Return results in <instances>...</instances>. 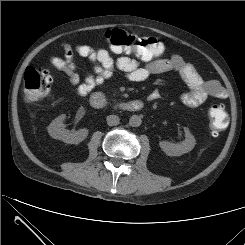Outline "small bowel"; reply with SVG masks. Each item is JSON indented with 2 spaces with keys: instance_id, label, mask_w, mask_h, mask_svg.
<instances>
[{
  "instance_id": "1",
  "label": "small bowel",
  "mask_w": 245,
  "mask_h": 245,
  "mask_svg": "<svg viewBox=\"0 0 245 245\" xmlns=\"http://www.w3.org/2000/svg\"><path fill=\"white\" fill-rule=\"evenodd\" d=\"M62 49L63 57L52 56L50 63L57 70L66 73L69 83L79 96L90 94L115 74L129 82L137 83L167 72L178 74L187 85L188 91L180 97L185 106L197 107L208 98L222 99L226 96L224 88L218 82L204 80L191 63L177 54L143 63L126 56L115 58L104 48H94L85 44L72 46L64 43ZM76 55L87 58L92 63V70L86 72L83 81L80 78L81 68L74 60ZM157 98V92L149 95L151 100Z\"/></svg>"
}]
</instances>
